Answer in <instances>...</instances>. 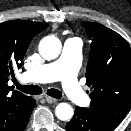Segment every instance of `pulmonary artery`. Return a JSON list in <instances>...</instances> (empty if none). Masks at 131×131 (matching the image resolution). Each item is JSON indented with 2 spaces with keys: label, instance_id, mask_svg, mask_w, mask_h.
I'll use <instances>...</instances> for the list:
<instances>
[{
  "label": "pulmonary artery",
  "instance_id": "e3ab8cb5",
  "mask_svg": "<svg viewBox=\"0 0 131 131\" xmlns=\"http://www.w3.org/2000/svg\"><path fill=\"white\" fill-rule=\"evenodd\" d=\"M82 43L79 39H67L61 55L56 60L25 71L22 81L29 83H47L61 81L62 88L68 98L75 104L86 106L90 98L85 94L77 81V71L80 66Z\"/></svg>",
  "mask_w": 131,
  "mask_h": 131
}]
</instances>
